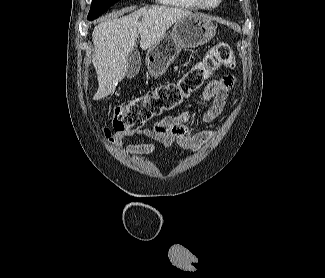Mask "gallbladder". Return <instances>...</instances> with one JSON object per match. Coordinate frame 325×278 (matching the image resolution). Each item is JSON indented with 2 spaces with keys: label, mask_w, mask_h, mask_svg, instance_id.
Here are the masks:
<instances>
[{
  "label": "gallbladder",
  "mask_w": 325,
  "mask_h": 278,
  "mask_svg": "<svg viewBox=\"0 0 325 278\" xmlns=\"http://www.w3.org/2000/svg\"><path fill=\"white\" fill-rule=\"evenodd\" d=\"M127 73L126 76L128 78H132L134 76H136L139 72L140 69V53L138 50L133 49L130 54L128 55V59H127Z\"/></svg>",
  "instance_id": "gallbladder-1"
}]
</instances>
